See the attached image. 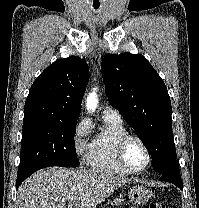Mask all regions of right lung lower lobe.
<instances>
[{"instance_id":"right-lung-lower-lobe-1","label":"right lung lower lobe","mask_w":199,"mask_h":208,"mask_svg":"<svg viewBox=\"0 0 199 208\" xmlns=\"http://www.w3.org/2000/svg\"><path fill=\"white\" fill-rule=\"evenodd\" d=\"M26 178V176H17L16 186L18 187Z\"/></svg>"}]
</instances>
